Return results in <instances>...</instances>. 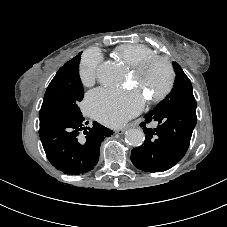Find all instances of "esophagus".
Returning <instances> with one entry per match:
<instances>
[{"instance_id":"1","label":"esophagus","mask_w":227,"mask_h":227,"mask_svg":"<svg viewBox=\"0 0 227 227\" xmlns=\"http://www.w3.org/2000/svg\"><path fill=\"white\" fill-rule=\"evenodd\" d=\"M125 131H126V128H121V129H118L116 133L122 135L124 134Z\"/></svg>"}]
</instances>
